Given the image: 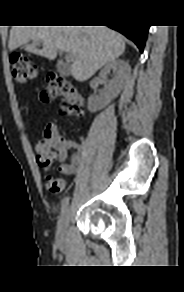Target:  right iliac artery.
I'll return each mask as SVG.
<instances>
[{"mask_svg":"<svg viewBox=\"0 0 184 292\" xmlns=\"http://www.w3.org/2000/svg\"><path fill=\"white\" fill-rule=\"evenodd\" d=\"M69 203V197L65 196L61 201V213H64Z\"/></svg>","mask_w":184,"mask_h":292,"instance_id":"1","label":"right iliac artery"}]
</instances>
